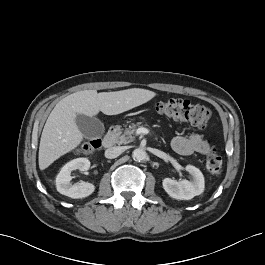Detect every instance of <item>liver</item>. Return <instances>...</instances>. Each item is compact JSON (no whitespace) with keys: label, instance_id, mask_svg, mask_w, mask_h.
Listing matches in <instances>:
<instances>
[{"label":"liver","instance_id":"6515ba94","mask_svg":"<svg viewBox=\"0 0 265 265\" xmlns=\"http://www.w3.org/2000/svg\"><path fill=\"white\" fill-rule=\"evenodd\" d=\"M155 96L153 91L131 88L101 93L84 90L63 98L50 113L42 131L38 159L40 170L46 169L82 142L83 135L75 121L77 114L93 117L101 111L106 115H117Z\"/></svg>","mask_w":265,"mask_h":265}]
</instances>
